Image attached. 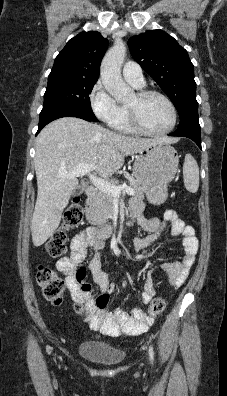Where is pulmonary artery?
<instances>
[{"label":"pulmonary artery","instance_id":"obj_1","mask_svg":"<svg viewBox=\"0 0 227 396\" xmlns=\"http://www.w3.org/2000/svg\"><path fill=\"white\" fill-rule=\"evenodd\" d=\"M124 79L135 87H142L144 83L142 69L139 64L133 61L125 63L122 69Z\"/></svg>","mask_w":227,"mask_h":396}]
</instances>
